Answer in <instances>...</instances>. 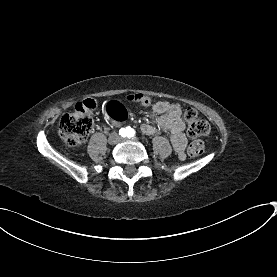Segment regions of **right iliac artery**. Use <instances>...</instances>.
<instances>
[{"mask_svg": "<svg viewBox=\"0 0 277 277\" xmlns=\"http://www.w3.org/2000/svg\"><path fill=\"white\" fill-rule=\"evenodd\" d=\"M119 134L122 136V137H126L128 135V129H125V128H121L119 130Z\"/></svg>", "mask_w": 277, "mask_h": 277, "instance_id": "82829eb1", "label": "right iliac artery"}]
</instances>
